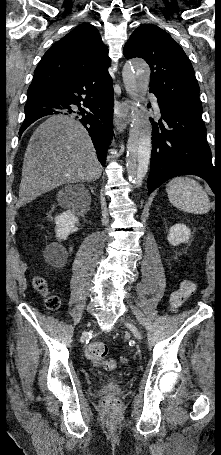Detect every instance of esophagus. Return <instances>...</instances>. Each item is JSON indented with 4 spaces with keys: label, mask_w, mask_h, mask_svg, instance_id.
I'll use <instances>...</instances> for the list:
<instances>
[{
    "label": "esophagus",
    "mask_w": 221,
    "mask_h": 455,
    "mask_svg": "<svg viewBox=\"0 0 221 455\" xmlns=\"http://www.w3.org/2000/svg\"><path fill=\"white\" fill-rule=\"evenodd\" d=\"M129 108H130V100L129 99H122L115 101V125L116 130L118 133L124 132L125 129L128 128L130 123V116H129Z\"/></svg>",
    "instance_id": "1"
}]
</instances>
